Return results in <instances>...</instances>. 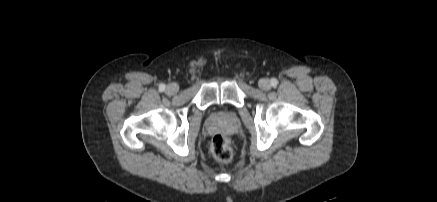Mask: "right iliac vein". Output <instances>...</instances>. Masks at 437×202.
<instances>
[{"label":"right iliac vein","instance_id":"1","mask_svg":"<svg viewBox=\"0 0 437 202\" xmlns=\"http://www.w3.org/2000/svg\"><path fill=\"white\" fill-rule=\"evenodd\" d=\"M178 90H179V86L177 84H175V83L169 84L166 87V93L169 94V95L176 94L178 92Z\"/></svg>","mask_w":437,"mask_h":202}]
</instances>
